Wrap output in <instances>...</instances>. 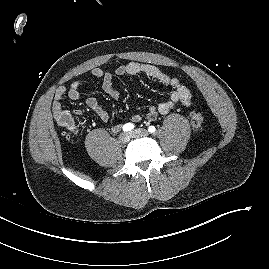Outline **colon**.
I'll use <instances>...</instances> for the list:
<instances>
[{
	"label": "colon",
	"instance_id": "obj_1",
	"mask_svg": "<svg viewBox=\"0 0 269 269\" xmlns=\"http://www.w3.org/2000/svg\"><path fill=\"white\" fill-rule=\"evenodd\" d=\"M63 120L65 122L69 121L68 117H64ZM190 123L194 131L198 132L202 129L203 126V117L198 112H192L190 114Z\"/></svg>",
	"mask_w": 269,
	"mask_h": 269
}]
</instances>
